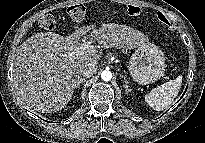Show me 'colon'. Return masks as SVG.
<instances>
[{"instance_id": "1", "label": "colon", "mask_w": 205, "mask_h": 143, "mask_svg": "<svg viewBox=\"0 0 205 143\" xmlns=\"http://www.w3.org/2000/svg\"><path fill=\"white\" fill-rule=\"evenodd\" d=\"M124 10L130 16H139L142 12L141 8L135 5H126L124 6ZM67 13L71 19L80 21L86 15V8L83 4H74L67 9ZM157 17L161 22L165 23L167 26H170V22L162 13H158ZM55 25L56 19L51 14L43 16L40 20V26L44 29L52 30Z\"/></svg>"}]
</instances>
